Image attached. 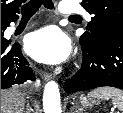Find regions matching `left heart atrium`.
<instances>
[{
    "label": "left heart atrium",
    "instance_id": "obj_1",
    "mask_svg": "<svg viewBox=\"0 0 123 113\" xmlns=\"http://www.w3.org/2000/svg\"><path fill=\"white\" fill-rule=\"evenodd\" d=\"M25 48L35 60L47 64L65 61L71 52L69 38L56 26H48L31 33Z\"/></svg>",
    "mask_w": 123,
    "mask_h": 113
}]
</instances>
